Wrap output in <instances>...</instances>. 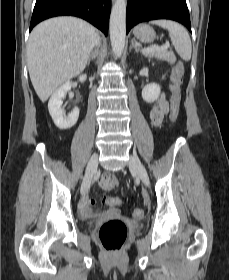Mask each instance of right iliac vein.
Masks as SVG:
<instances>
[{"mask_svg": "<svg viewBox=\"0 0 229 280\" xmlns=\"http://www.w3.org/2000/svg\"><path fill=\"white\" fill-rule=\"evenodd\" d=\"M97 166H98V155L93 154L86 168L85 176L81 187V192H84L89 189L91 185L92 177L97 170Z\"/></svg>", "mask_w": 229, "mask_h": 280, "instance_id": "63e3f726", "label": "right iliac vein"}]
</instances>
